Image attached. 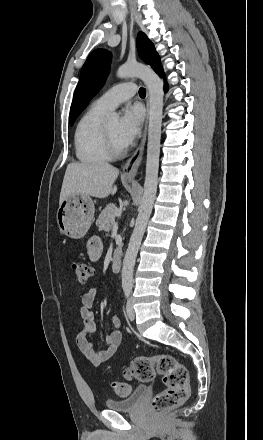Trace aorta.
I'll return each mask as SVG.
<instances>
[{
  "instance_id": "aorta-1",
  "label": "aorta",
  "mask_w": 263,
  "mask_h": 440,
  "mask_svg": "<svg viewBox=\"0 0 263 440\" xmlns=\"http://www.w3.org/2000/svg\"><path fill=\"white\" fill-rule=\"evenodd\" d=\"M117 76L119 78L138 77L144 81L149 92V126L144 193L122 267V286L131 288L137 253L157 192L164 92L163 83L159 76L151 68L140 63H126L120 66L117 70ZM118 117L115 112L108 114V118L111 120H116Z\"/></svg>"
}]
</instances>
